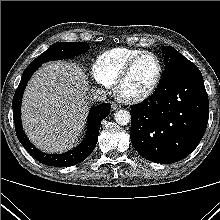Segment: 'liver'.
Segmentation results:
<instances>
[{"instance_id": "liver-1", "label": "liver", "mask_w": 220, "mask_h": 220, "mask_svg": "<svg viewBox=\"0 0 220 220\" xmlns=\"http://www.w3.org/2000/svg\"><path fill=\"white\" fill-rule=\"evenodd\" d=\"M89 81L75 63L48 62L37 70L23 95L21 118L40 150L61 153L73 146L89 112Z\"/></svg>"}]
</instances>
